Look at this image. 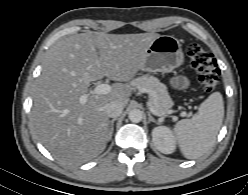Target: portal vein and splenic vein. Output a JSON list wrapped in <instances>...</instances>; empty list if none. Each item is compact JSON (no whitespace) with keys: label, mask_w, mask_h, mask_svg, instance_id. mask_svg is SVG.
Wrapping results in <instances>:
<instances>
[{"label":"portal vein and splenic vein","mask_w":248,"mask_h":195,"mask_svg":"<svg viewBox=\"0 0 248 195\" xmlns=\"http://www.w3.org/2000/svg\"><path fill=\"white\" fill-rule=\"evenodd\" d=\"M112 87L109 84H99L97 85L93 90L89 92V94H84L81 96L80 101L84 103L88 97V95H102V94H108L111 92ZM149 109L152 113L156 114L155 110L149 105ZM157 115V114H156ZM186 112H183L181 116H186Z\"/></svg>","instance_id":"portal-vein-and-splenic-vein-1"}]
</instances>
